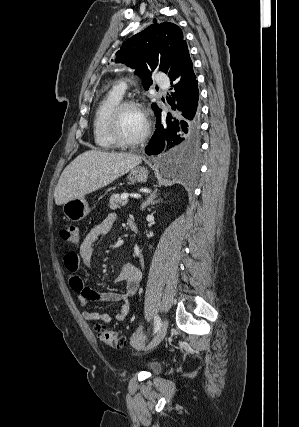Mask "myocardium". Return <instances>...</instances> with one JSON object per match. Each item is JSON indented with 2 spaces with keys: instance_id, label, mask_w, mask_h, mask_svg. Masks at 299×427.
<instances>
[{
  "instance_id": "myocardium-1",
  "label": "myocardium",
  "mask_w": 299,
  "mask_h": 427,
  "mask_svg": "<svg viewBox=\"0 0 299 427\" xmlns=\"http://www.w3.org/2000/svg\"><path fill=\"white\" fill-rule=\"evenodd\" d=\"M126 108H134L139 110L143 115V111L140 107V105L132 100H121L119 103H117L110 113L108 114L107 120H106V131L108 134V137L110 140L119 147H133L137 146L141 143H143L150 133V123L147 119V117L144 115L145 118V129L142 132L140 136H138L135 139L128 140L125 139L120 131H119V118L123 110Z\"/></svg>"
}]
</instances>
